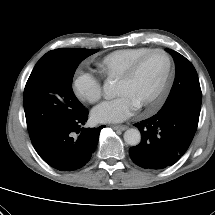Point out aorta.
I'll return each mask as SVG.
<instances>
[{
    "instance_id": "aorta-1",
    "label": "aorta",
    "mask_w": 215,
    "mask_h": 215,
    "mask_svg": "<svg viewBox=\"0 0 215 215\" xmlns=\"http://www.w3.org/2000/svg\"><path fill=\"white\" fill-rule=\"evenodd\" d=\"M104 96L106 98H112L115 95L116 88L112 80L107 79L103 85ZM124 141L131 146H136L141 141L140 131L136 128H130L124 133Z\"/></svg>"
}]
</instances>
